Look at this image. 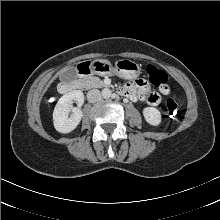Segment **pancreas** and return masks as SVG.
<instances>
[{
    "instance_id": "cf45deb5",
    "label": "pancreas",
    "mask_w": 220,
    "mask_h": 220,
    "mask_svg": "<svg viewBox=\"0 0 220 220\" xmlns=\"http://www.w3.org/2000/svg\"><path fill=\"white\" fill-rule=\"evenodd\" d=\"M81 82L85 89L102 88L106 86L105 83L96 76H87L82 79Z\"/></svg>"
}]
</instances>
